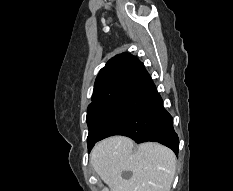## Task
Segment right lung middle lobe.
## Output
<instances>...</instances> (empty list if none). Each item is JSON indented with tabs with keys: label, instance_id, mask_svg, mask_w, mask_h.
I'll use <instances>...</instances> for the list:
<instances>
[{
	"label": "right lung middle lobe",
	"instance_id": "obj_1",
	"mask_svg": "<svg viewBox=\"0 0 233 191\" xmlns=\"http://www.w3.org/2000/svg\"><path fill=\"white\" fill-rule=\"evenodd\" d=\"M128 93L111 95L88 106L86 121L89 128L88 150L95 144L100 134L126 105Z\"/></svg>",
	"mask_w": 233,
	"mask_h": 191
}]
</instances>
